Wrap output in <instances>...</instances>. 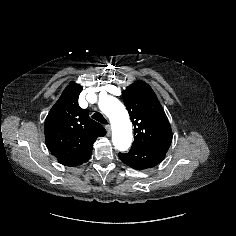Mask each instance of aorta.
I'll list each match as a JSON object with an SVG mask.
<instances>
[{
  "label": "aorta",
  "instance_id": "aorta-1",
  "mask_svg": "<svg viewBox=\"0 0 236 236\" xmlns=\"http://www.w3.org/2000/svg\"><path fill=\"white\" fill-rule=\"evenodd\" d=\"M100 110L112 124V142L119 151H126L132 142V123L124 105L115 97H105L99 101Z\"/></svg>",
  "mask_w": 236,
  "mask_h": 236
}]
</instances>
